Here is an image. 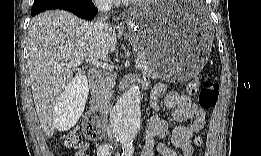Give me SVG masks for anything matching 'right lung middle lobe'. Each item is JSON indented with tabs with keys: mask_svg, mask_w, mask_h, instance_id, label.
Instances as JSON below:
<instances>
[{
	"mask_svg": "<svg viewBox=\"0 0 261 156\" xmlns=\"http://www.w3.org/2000/svg\"><path fill=\"white\" fill-rule=\"evenodd\" d=\"M64 0H34L33 8L61 3Z\"/></svg>",
	"mask_w": 261,
	"mask_h": 156,
	"instance_id": "obj_1",
	"label": "right lung middle lobe"
}]
</instances>
